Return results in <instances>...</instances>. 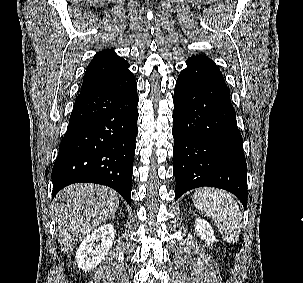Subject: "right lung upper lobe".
<instances>
[{"mask_svg":"<svg viewBox=\"0 0 303 283\" xmlns=\"http://www.w3.org/2000/svg\"><path fill=\"white\" fill-rule=\"evenodd\" d=\"M128 62L119 57L113 50L98 52L86 68L81 91L86 92L112 84L126 75L129 71Z\"/></svg>","mask_w":303,"mask_h":283,"instance_id":"cb5924a9","label":"right lung upper lobe"}]
</instances>
